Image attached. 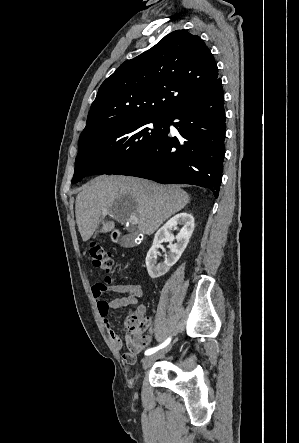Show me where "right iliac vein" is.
I'll return each mask as SVG.
<instances>
[{"mask_svg":"<svg viewBox=\"0 0 299 443\" xmlns=\"http://www.w3.org/2000/svg\"><path fill=\"white\" fill-rule=\"evenodd\" d=\"M169 349L170 348H167V349H165L159 353H156L154 355L146 356L142 361L143 366L147 367V366L151 365L156 359L162 357L165 353H167L169 351Z\"/></svg>","mask_w":299,"mask_h":443,"instance_id":"1","label":"right iliac vein"}]
</instances>
